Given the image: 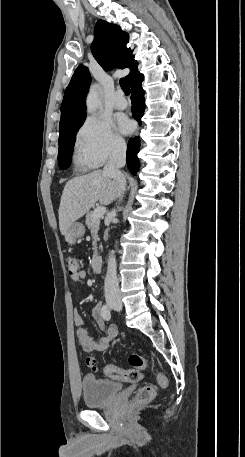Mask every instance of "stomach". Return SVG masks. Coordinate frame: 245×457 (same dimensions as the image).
Wrapping results in <instances>:
<instances>
[{
  "mask_svg": "<svg viewBox=\"0 0 245 457\" xmlns=\"http://www.w3.org/2000/svg\"><path fill=\"white\" fill-rule=\"evenodd\" d=\"M85 233V226L82 222H73L71 224L70 229H68L67 233H65V241L68 245H75L76 239H80L83 237Z\"/></svg>",
  "mask_w": 245,
  "mask_h": 457,
  "instance_id": "obj_1",
  "label": "stomach"
}]
</instances>
